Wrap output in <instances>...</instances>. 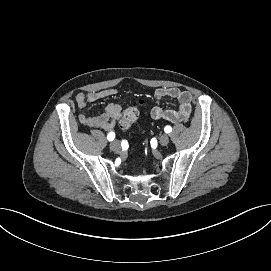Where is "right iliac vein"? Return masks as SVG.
Listing matches in <instances>:
<instances>
[{
	"instance_id": "obj_1",
	"label": "right iliac vein",
	"mask_w": 271,
	"mask_h": 271,
	"mask_svg": "<svg viewBox=\"0 0 271 271\" xmlns=\"http://www.w3.org/2000/svg\"><path fill=\"white\" fill-rule=\"evenodd\" d=\"M110 149L111 151L113 152H116L120 149V144L118 141H113L111 144H110Z\"/></svg>"
}]
</instances>
